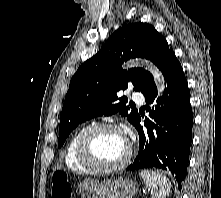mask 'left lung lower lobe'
Instances as JSON below:
<instances>
[{
    "label": "left lung lower lobe",
    "mask_w": 221,
    "mask_h": 198,
    "mask_svg": "<svg viewBox=\"0 0 221 198\" xmlns=\"http://www.w3.org/2000/svg\"><path fill=\"white\" fill-rule=\"evenodd\" d=\"M162 73L167 84L162 97L156 99L154 82L142 92L150 119L144 121L146 129L140 125V116L134 124L139 134V154L127 170L163 169L181 185L189 161L193 114L187 80L174 52L167 58ZM155 101L158 105L150 107Z\"/></svg>",
    "instance_id": "obj_1"
}]
</instances>
